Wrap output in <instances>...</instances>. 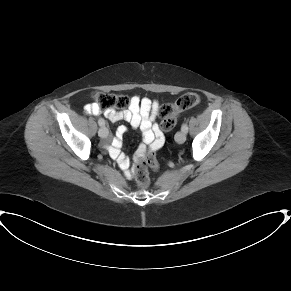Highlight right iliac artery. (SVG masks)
Returning <instances> with one entry per match:
<instances>
[{
    "mask_svg": "<svg viewBox=\"0 0 291 291\" xmlns=\"http://www.w3.org/2000/svg\"><path fill=\"white\" fill-rule=\"evenodd\" d=\"M98 124H99L100 126L104 127V126H105V121H104L102 118H99V119H98Z\"/></svg>",
    "mask_w": 291,
    "mask_h": 291,
    "instance_id": "82829eb1",
    "label": "right iliac artery"
}]
</instances>
